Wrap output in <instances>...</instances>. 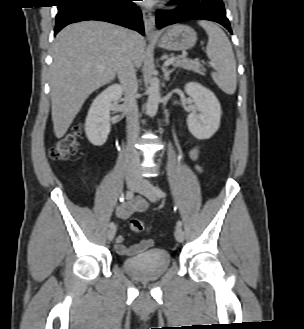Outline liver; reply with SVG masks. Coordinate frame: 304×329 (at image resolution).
Returning <instances> with one entry per match:
<instances>
[{
  "mask_svg": "<svg viewBox=\"0 0 304 329\" xmlns=\"http://www.w3.org/2000/svg\"><path fill=\"white\" fill-rule=\"evenodd\" d=\"M124 33L128 36L133 62L139 68L145 41L135 31L105 22L83 21L68 25L56 36L50 87L57 138L65 135L89 95L114 79Z\"/></svg>",
  "mask_w": 304,
  "mask_h": 329,
  "instance_id": "6515ba94",
  "label": "liver"
}]
</instances>
